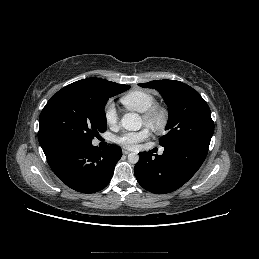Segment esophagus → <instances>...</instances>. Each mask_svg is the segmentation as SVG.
<instances>
[{"mask_svg": "<svg viewBox=\"0 0 259 259\" xmlns=\"http://www.w3.org/2000/svg\"><path fill=\"white\" fill-rule=\"evenodd\" d=\"M122 152H123V154H125V155H128L129 153H130V151H128V150H122Z\"/></svg>", "mask_w": 259, "mask_h": 259, "instance_id": "1", "label": "esophagus"}]
</instances>
